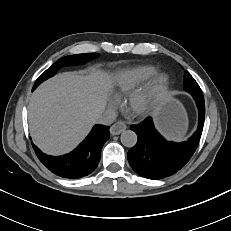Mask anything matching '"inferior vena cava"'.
Segmentation results:
<instances>
[{"label":"inferior vena cava","instance_id":"1","mask_svg":"<svg viewBox=\"0 0 231 231\" xmlns=\"http://www.w3.org/2000/svg\"><path fill=\"white\" fill-rule=\"evenodd\" d=\"M116 119V113L113 110H107L98 117V122L103 125H111Z\"/></svg>","mask_w":231,"mask_h":231}]
</instances>
